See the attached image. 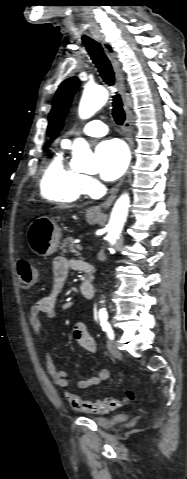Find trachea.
Listing matches in <instances>:
<instances>
[{"label":"trachea","instance_id":"trachea-1","mask_svg":"<svg viewBox=\"0 0 187 479\" xmlns=\"http://www.w3.org/2000/svg\"><path fill=\"white\" fill-rule=\"evenodd\" d=\"M93 63L106 84L113 86L115 83L114 72L109 59L105 55L101 45L93 40L83 41ZM112 115L118 125H122L125 120V112L122 107L121 97L118 93L113 96Z\"/></svg>","mask_w":187,"mask_h":479}]
</instances>
